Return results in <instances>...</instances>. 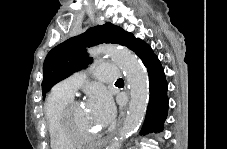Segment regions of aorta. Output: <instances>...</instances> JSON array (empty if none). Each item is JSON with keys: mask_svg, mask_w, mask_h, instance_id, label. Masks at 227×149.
Here are the masks:
<instances>
[{"mask_svg": "<svg viewBox=\"0 0 227 149\" xmlns=\"http://www.w3.org/2000/svg\"><path fill=\"white\" fill-rule=\"evenodd\" d=\"M90 54L94 57L109 56L124 72L130 88L131 100L123 127L108 148L120 149L121 143L139 128L144 118L149 99L148 74L127 48L107 45L90 51Z\"/></svg>", "mask_w": 227, "mask_h": 149, "instance_id": "1", "label": "aorta"}]
</instances>
